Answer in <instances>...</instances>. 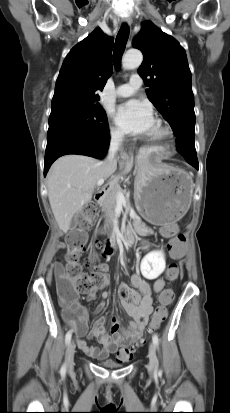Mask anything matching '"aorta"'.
I'll list each match as a JSON object with an SVG mask.
<instances>
[{
	"label": "aorta",
	"instance_id": "762f6f07",
	"mask_svg": "<svg viewBox=\"0 0 230 413\" xmlns=\"http://www.w3.org/2000/svg\"><path fill=\"white\" fill-rule=\"evenodd\" d=\"M142 60L143 56L139 50H128L122 59V67L124 69H134L142 63Z\"/></svg>",
	"mask_w": 230,
	"mask_h": 413
}]
</instances>
